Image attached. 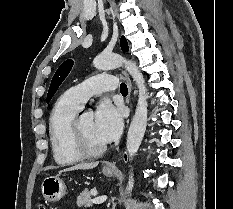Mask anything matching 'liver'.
Returning a JSON list of instances; mask_svg holds the SVG:
<instances>
[{"label":"liver","mask_w":233,"mask_h":209,"mask_svg":"<svg viewBox=\"0 0 233 209\" xmlns=\"http://www.w3.org/2000/svg\"><path fill=\"white\" fill-rule=\"evenodd\" d=\"M98 165V162H93V163H81V164H77L75 166L63 169L60 172H68V171H74V170H89V169H93Z\"/></svg>","instance_id":"liver-1"}]
</instances>
